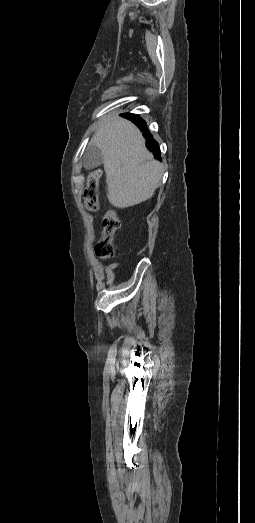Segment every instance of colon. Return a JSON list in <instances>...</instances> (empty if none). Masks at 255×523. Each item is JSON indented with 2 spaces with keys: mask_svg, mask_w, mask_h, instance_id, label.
<instances>
[{
  "mask_svg": "<svg viewBox=\"0 0 255 523\" xmlns=\"http://www.w3.org/2000/svg\"><path fill=\"white\" fill-rule=\"evenodd\" d=\"M101 176L99 170L92 171L87 178L84 190V204L87 210L95 212L99 207L98 184ZM120 228L117 213L109 209L102 218V234L95 246L96 255L103 260L111 259L115 254L114 235Z\"/></svg>",
  "mask_w": 255,
  "mask_h": 523,
  "instance_id": "5ec220e1",
  "label": "colon"
}]
</instances>
